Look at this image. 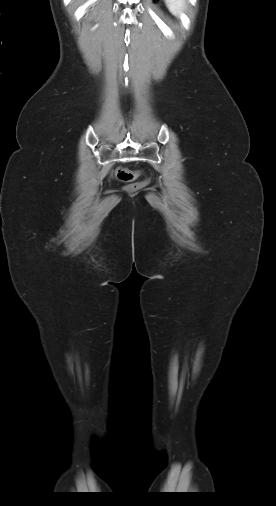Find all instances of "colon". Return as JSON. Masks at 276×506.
Segmentation results:
<instances>
[{
    "label": "colon",
    "mask_w": 276,
    "mask_h": 506,
    "mask_svg": "<svg viewBox=\"0 0 276 506\" xmlns=\"http://www.w3.org/2000/svg\"><path fill=\"white\" fill-rule=\"evenodd\" d=\"M141 175V172L139 171H135V172H130L128 171L126 168L124 167H119L117 168L116 170V176L117 178L122 181V182H126V183H129L128 186H127V189L129 191H137V190H140L143 186L146 185L147 181H141V182H135V183H132V181L137 178L138 176Z\"/></svg>",
    "instance_id": "colon-1"
}]
</instances>
